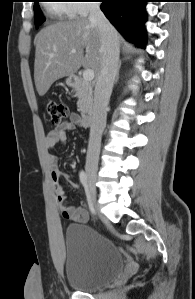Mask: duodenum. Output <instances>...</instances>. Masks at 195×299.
<instances>
[{"instance_id":"410a0bca","label":"duodenum","mask_w":195,"mask_h":299,"mask_svg":"<svg viewBox=\"0 0 195 299\" xmlns=\"http://www.w3.org/2000/svg\"><path fill=\"white\" fill-rule=\"evenodd\" d=\"M70 84L73 87H79L82 85V81L78 76L70 77ZM95 118V110L89 109L86 113L80 116V122L84 127H88L93 124Z\"/></svg>"}]
</instances>
